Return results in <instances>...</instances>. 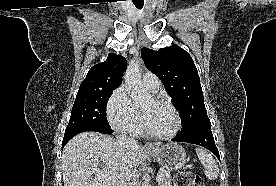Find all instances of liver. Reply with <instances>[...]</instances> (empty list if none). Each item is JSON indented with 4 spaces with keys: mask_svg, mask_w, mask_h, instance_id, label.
I'll return each mask as SVG.
<instances>
[{
    "mask_svg": "<svg viewBox=\"0 0 276 186\" xmlns=\"http://www.w3.org/2000/svg\"><path fill=\"white\" fill-rule=\"evenodd\" d=\"M143 157L138 145L125 148L111 136L80 133L63 149L64 186H118L121 174L130 167L137 171ZM100 162L105 164L103 169L98 168Z\"/></svg>",
    "mask_w": 276,
    "mask_h": 186,
    "instance_id": "obj_1",
    "label": "liver"
}]
</instances>
